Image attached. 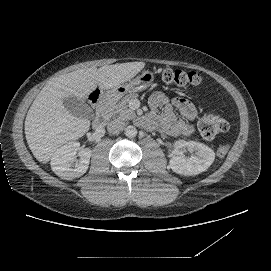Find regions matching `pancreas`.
Masks as SVG:
<instances>
[{"mask_svg": "<svg viewBox=\"0 0 271 271\" xmlns=\"http://www.w3.org/2000/svg\"><path fill=\"white\" fill-rule=\"evenodd\" d=\"M133 94H128L121 99L111 98L106 107L112 111L113 115H117L119 119H130L135 116V112L129 108V101L134 98Z\"/></svg>", "mask_w": 271, "mask_h": 271, "instance_id": "pancreas-1", "label": "pancreas"}]
</instances>
